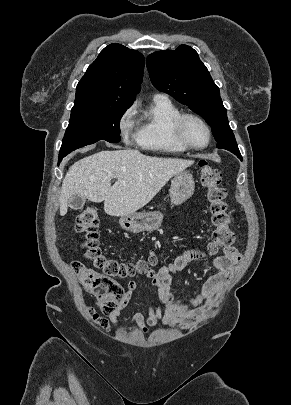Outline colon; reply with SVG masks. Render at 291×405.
I'll list each match as a JSON object with an SVG mask.
<instances>
[{"label":"colon","mask_w":291,"mask_h":405,"mask_svg":"<svg viewBox=\"0 0 291 405\" xmlns=\"http://www.w3.org/2000/svg\"><path fill=\"white\" fill-rule=\"evenodd\" d=\"M200 182L206 189L213 231L208 246L211 254L231 247L235 241L230 230V216L226 202V190L220 186L221 173L206 161L200 164ZM75 230L81 237L84 258L92 267L81 261H73L72 268L85 291L96 297L103 314L111 316L119 309L124 296L122 285L116 278L146 273L157 263V257L125 262L103 254L99 245V218L93 207L84 209L76 218Z\"/></svg>","instance_id":"obj_1"}]
</instances>
